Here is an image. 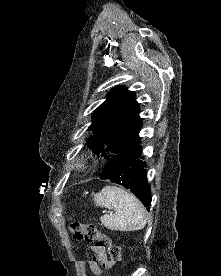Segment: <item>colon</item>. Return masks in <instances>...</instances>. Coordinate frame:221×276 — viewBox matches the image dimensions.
Instances as JSON below:
<instances>
[{"label": "colon", "mask_w": 221, "mask_h": 276, "mask_svg": "<svg viewBox=\"0 0 221 276\" xmlns=\"http://www.w3.org/2000/svg\"><path fill=\"white\" fill-rule=\"evenodd\" d=\"M70 233L75 240L94 243L97 248L105 250L109 255V268L121 260V247L101 233L93 222L73 220L70 224Z\"/></svg>", "instance_id": "obj_1"}]
</instances>
